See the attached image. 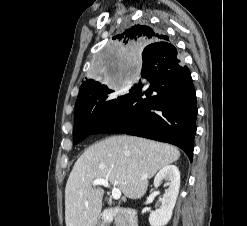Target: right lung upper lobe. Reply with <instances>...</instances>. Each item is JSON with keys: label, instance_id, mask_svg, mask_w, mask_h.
<instances>
[{"label": "right lung upper lobe", "instance_id": "cb5924a9", "mask_svg": "<svg viewBox=\"0 0 247 226\" xmlns=\"http://www.w3.org/2000/svg\"><path fill=\"white\" fill-rule=\"evenodd\" d=\"M119 39L123 44H153L158 42H168L169 37L162 32L153 29L148 25H133L127 27L119 35L113 37ZM99 85V82L93 79H87L81 86L77 100L86 96Z\"/></svg>", "mask_w": 247, "mask_h": 226}]
</instances>
